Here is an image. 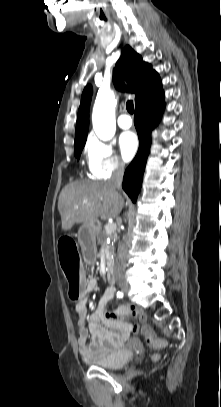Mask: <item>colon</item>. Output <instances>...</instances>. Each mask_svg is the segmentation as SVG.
Here are the masks:
<instances>
[{
    "label": "colon",
    "instance_id": "colon-1",
    "mask_svg": "<svg viewBox=\"0 0 221 407\" xmlns=\"http://www.w3.org/2000/svg\"><path fill=\"white\" fill-rule=\"evenodd\" d=\"M59 258L61 267L65 273L70 287V297L73 299L72 303L82 298L80 292L83 286V280L80 270L79 256L76 250L75 243L68 237H63L59 241ZM141 334L145 342L153 348L159 349L166 345V342L157 338L152 329L145 325L141 328Z\"/></svg>",
    "mask_w": 221,
    "mask_h": 407
}]
</instances>
